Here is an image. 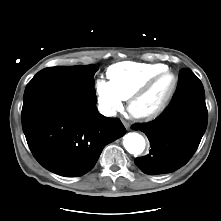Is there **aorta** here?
<instances>
[{"label":"aorta","instance_id":"aorta-1","mask_svg":"<svg viewBox=\"0 0 221 221\" xmlns=\"http://www.w3.org/2000/svg\"><path fill=\"white\" fill-rule=\"evenodd\" d=\"M123 145L130 154L138 155L145 149V139L138 133L130 132L124 136Z\"/></svg>","mask_w":221,"mask_h":221}]
</instances>
